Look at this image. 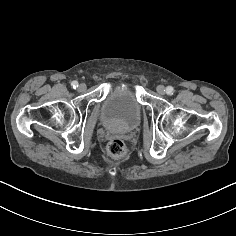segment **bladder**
<instances>
[{"instance_id": "1", "label": "bladder", "mask_w": 236, "mask_h": 236, "mask_svg": "<svg viewBox=\"0 0 236 236\" xmlns=\"http://www.w3.org/2000/svg\"><path fill=\"white\" fill-rule=\"evenodd\" d=\"M141 108L135 92L126 86H113L103 102L100 120L109 127L130 130L138 125Z\"/></svg>"}]
</instances>
